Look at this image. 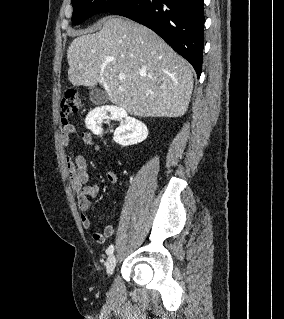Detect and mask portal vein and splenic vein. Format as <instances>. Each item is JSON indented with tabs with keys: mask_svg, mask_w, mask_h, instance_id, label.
Returning <instances> with one entry per match:
<instances>
[{
	"mask_svg": "<svg viewBox=\"0 0 284 319\" xmlns=\"http://www.w3.org/2000/svg\"><path fill=\"white\" fill-rule=\"evenodd\" d=\"M125 75L124 74H120L119 76H118V79L120 80V81H122V80H125Z\"/></svg>",
	"mask_w": 284,
	"mask_h": 319,
	"instance_id": "portal-vein-and-splenic-vein-1",
	"label": "portal vein and splenic vein"
}]
</instances>
